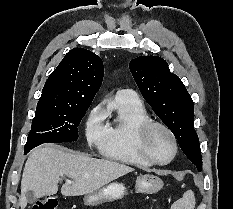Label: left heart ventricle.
<instances>
[{
    "mask_svg": "<svg viewBox=\"0 0 233 209\" xmlns=\"http://www.w3.org/2000/svg\"><path fill=\"white\" fill-rule=\"evenodd\" d=\"M147 148L150 154L158 161L168 160L173 153V144L170 137L159 128L151 131Z\"/></svg>",
    "mask_w": 233,
    "mask_h": 209,
    "instance_id": "1",
    "label": "left heart ventricle"
}]
</instances>
